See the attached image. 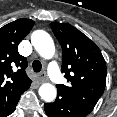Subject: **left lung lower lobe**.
<instances>
[{
	"instance_id": "1",
	"label": "left lung lower lobe",
	"mask_w": 117,
	"mask_h": 117,
	"mask_svg": "<svg viewBox=\"0 0 117 117\" xmlns=\"http://www.w3.org/2000/svg\"><path fill=\"white\" fill-rule=\"evenodd\" d=\"M44 109L48 117H85L90 113L59 93L54 102L45 104Z\"/></svg>"
}]
</instances>
